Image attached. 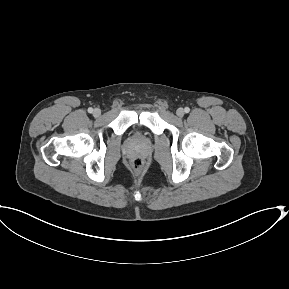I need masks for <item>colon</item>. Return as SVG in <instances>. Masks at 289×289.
I'll return each instance as SVG.
<instances>
[{
  "instance_id": "5ec220e1",
  "label": "colon",
  "mask_w": 289,
  "mask_h": 289,
  "mask_svg": "<svg viewBox=\"0 0 289 289\" xmlns=\"http://www.w3.org/2000/svg\"><path fill=\"white\" fill-rule=\"evenodd\" d=\"M131 166L133 170L140 171L143 167V161L140 158H135L131 161Z\"/></svg>"
}]
</instances>
